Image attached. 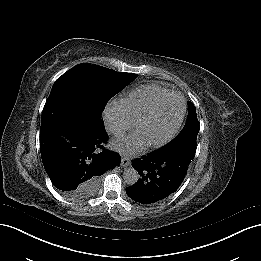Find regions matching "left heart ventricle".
<instances>
[{
  "instance_id": "left-heart-ventricle-1",
  "label": "left heart ventricle",
  "mask_w": 261,
  "mask_h": 261,
  "mask_svg": "<svg viewBox=\"0 0 261 261\" xmlns=\"http://www.w3.org/2000/svg\"><path fill=\"white\" fill-rule=\"evenodd\" d=\"M181 111L177 101L166 110L142 119L138 128V137L145 140H156L167 134L176 124Z\"/></svg>"
}]
</instances>
